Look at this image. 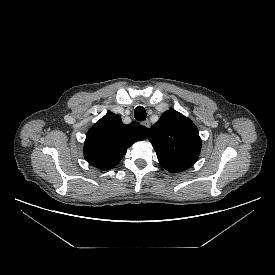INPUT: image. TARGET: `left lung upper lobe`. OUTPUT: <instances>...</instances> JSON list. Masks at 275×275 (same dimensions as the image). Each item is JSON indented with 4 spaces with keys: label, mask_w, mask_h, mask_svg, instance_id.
I'll return each instance as SVG.
<instances>
[{
    "label": "left lung upper lobe",
    "mask_w": 275,
    "mask_h": 275,
    "mask_svg": "<svg viewBox=\"0 0 275 275\" xmlns=\"http://www.w3.org/2000/svg\"><path fill=\"white\" fill-rule=\"evenodd\" d=\"M149 141L161 166L171 173L182 172L193 166L201 151L197 127L174 109L162 114L151 127Z\"/></svg>",
    "instance_id": "left-lung-upper-lobe-1"
}]
</instances>
